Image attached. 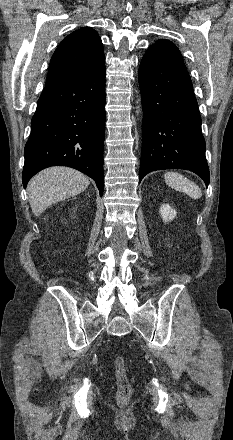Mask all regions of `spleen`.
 <instances>
[{
    "mask_svg": "<svg viewBox=\"0 0 233 440\" xmlns=\"http://www.w3.org/2000/svg\"><path fill=\"white\" fill-rule=\"evenodd\" d=\"M164 179L167 185L177 191L187 194L192 199H199L202 196V191L199 186L180 173L167 172L164 175Z\"/></svg>",
    "mask_w": 233,
    "mask_h": 440,
    "instance_id": "3e777b00",
    "label": "spleen"
}]
</instances>
